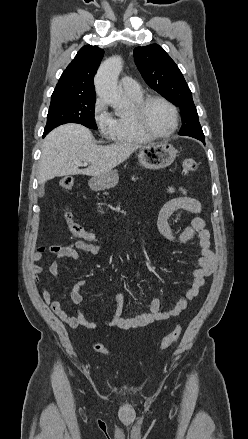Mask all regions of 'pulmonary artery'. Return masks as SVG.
<instances>
[{
	"mask_svg": "<svg viewBox=\"0 0 248 439\" xmlns=\"http://www.w3.org/2000/svg\"><path fill=\"white\" fill-rule=\"evenodd\" d=\"M120 84L122 86V89L125 93L129 94H137L141 92V88L137 81L130 77V76H124L122 77Z\"/></svg>",
	"mask_w": 248,
	"mask_h": 439,
	"instance_id": "obj_1",
	"label": "pulmonary artery"
}]
</instances>
